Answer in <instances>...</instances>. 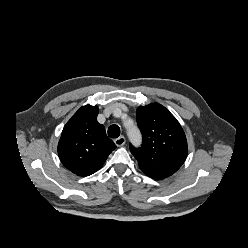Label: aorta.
Segmentation results:
<instances>
[{"label":"aorta","mask_w":248,"mask_h":248,"mask_svg":"<svg viewBox=\"0 0 248 248\" xmlns=\"http://www.w3.org/2000/svg\"><path fill=\"white\" fill-rule=\"evenodd\" d=\"M127 135L134 145H139L141 143V134L136 126L129 127L127 129Z\"/></svg>","instance_id":"aorta-1"}]
</instances>
